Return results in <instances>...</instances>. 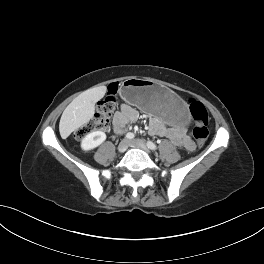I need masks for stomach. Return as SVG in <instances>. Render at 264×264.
Returning <instances> with one entry per match:
<instances>
[{"label": "stomach", "mask_w": 264, "mask_h": 264, "mask_svg": "<svg viewBox=\"0 0 264 264\" xmlns=\"http://www.w3.org/2000/svg\"><path fill=\"white\" fill-rule=\"evenodd\" d=\"M120 95L129 104L159 116L170 126L181 127L189 121V110L181 99L151 79H126L122 82Z\"/></svg>", "instance_id": "obj_1"}]
</instances>
